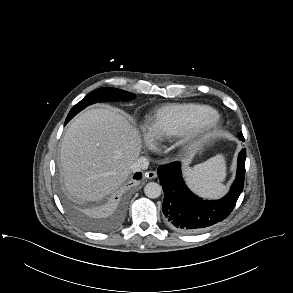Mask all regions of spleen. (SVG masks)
<instances>
[{"label":"spleen","mask_w":293,"mask_h":293,"mask_svg":"<svg viewBox=\"0 0 293 293\" xmlns=\"http://www.w3.org/2000/svg\"><path fill=\"white\" fill-rule=\"evenodd\" d=\"M186 176L190 187L199 195L219 197L225 191L222 184L226 176L225 160L222 155H217L188 170Z\"/></svg>","instance_id":"spleen-1"}]
</instances>
